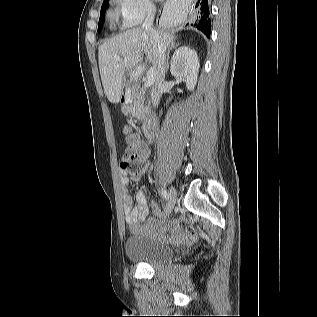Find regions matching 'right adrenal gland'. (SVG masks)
Here are the masks:
<instances>
[{"instance_id":"2a0ac1e0","label":"right adrenal gland","mask_w":317,"mask_h":317,"mask_svg":"<svg viewBox=\"0 0 317 317\" xmlns=\"http://www.w3.org/2000/svg\"><path fill=\"white\" fill-rule=\"evenodd\" d=\"M179 46V43L178 44H172L169 48H168V50H167V60H166V72L168 71V69H169V54H170V51L172 50V49H175V48H177Z\"/></svg>"}]
</instances>
